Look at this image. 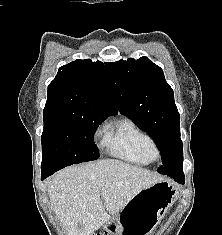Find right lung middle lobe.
<instances>
[{
	"instance_id": "obj_1",
	"label": "right lung middle lobe",
	"mask_w": 222,
	"mask_h": 235,
	"mask_svg": "<svg viewBox=\"0 0 222 235\" xmlns=\"http://www.w3.org/2000/svg\"><path fill=\"white\" fill-rule=\"evenodd\" d=\"M108 116L83 111L44 114L41 173L99 158L93 135Z\"/></svg>"
}]
</instances>
